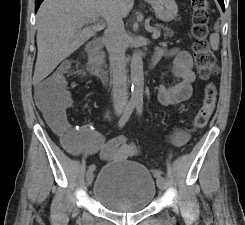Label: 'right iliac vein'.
Segmentation results:
<instances>
[{"instance_id":"obj_1","label":"right iliac vein","mask_w":245,"mask_h":225,"mask_svg":"<svg viewBox=\"0 0 245 225\" xmlns=\"http://www.w3.org/2000/svg\"><path fill=\"white\" fill-rule=\"evenodd\" d=\"M121 112L119 111L117 114H120ZM93 179H94V174H93V171H88L87 174H86V183L87 185H91L92 182H93Z\"/></svg>"}]
</instances>
